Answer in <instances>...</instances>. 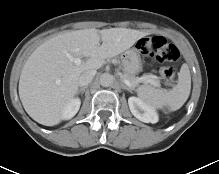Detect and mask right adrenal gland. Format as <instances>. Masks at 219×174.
Masks as SVG:
<instances>
[{
	"instance_id": "obj_1",
	"label": "right adrenal gland",
	"mask_w": 219,
	"mask_h": 174,
	"mask_svg": "<svg viewBox=\"0 0 219 174\" xmlns=\"http://www.w3.org/2000/svg\"><path fill=\"white\" fill-rule=\"evenodd\" d=\"M87 89V86H85V87H81L79 90H78V92H77V94H84V92H85V90Z\"/></svg>"
}]
</instances>
